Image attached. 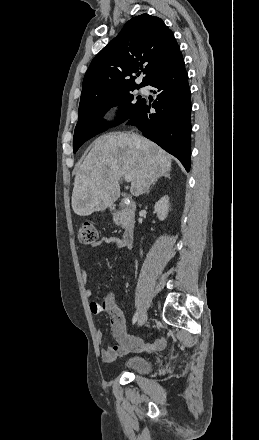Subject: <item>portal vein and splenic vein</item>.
Listing matches in <instances>:
<instances>
[{"label": "portal vein and splenic vein", "mask_w": 259, "mask_h": 440, "mask_svg": "<svg viewBox=\"0 0 259 440\" xmlns=\"http://www.w3.org/2000/svg\"><path fill=\"white\" fill-rule=\"evenodd\" d=\"M125 181L130 182L132 180V176L127 174L124 176Z\"/></svg>", "instance_id": "portal-vein-and-splenic-vein-1"}]
</instances>
